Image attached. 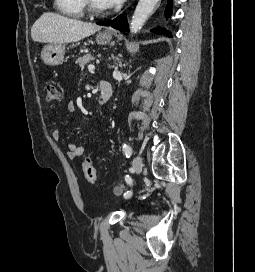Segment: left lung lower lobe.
Segmentation results:
<instances>
[{"label": "left lung lower lobe", "mask_w": 255, "mask_h": 272, "mask_svg": "<svg viewBox=\"0 0 255 272\" xmlns=\"http://www.w3.org/2000/svg\"><path fill=\"white\" fill-rule=\"evenodd\" d=\"M171 0H168V4L166 7V14L169 16L172 13V7H171ZM98 25H105V26H112L115 29L121 30V31H129L128 29V23L126 21L125 14L120 15L114 20H108V21H102V22H97ZM153 33L156 34H163L168 37H172L171 33L166 30H162V28H155L152 30Z\"/></svg>", "instance_id": "1"}]
</instances>
